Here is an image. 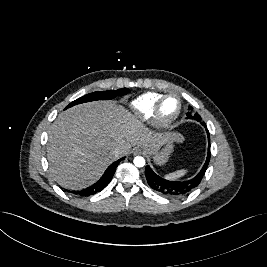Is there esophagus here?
<instances>
[{"label":"esophagus","mask_w":267,"mask_h":267,"mask_svg":"<svg viewBox=\"0 0 267 267\" xmlns=\"http://www.w3.org/2000/svg\"><path fill=\"white\" fill-rule=\"evenodd\" d=\"M141 153H142V151L139 148H135L134 151H133L134 155H138V154H141Z\"/></svg>","instance_id":"obj_1"}]
</instances>
